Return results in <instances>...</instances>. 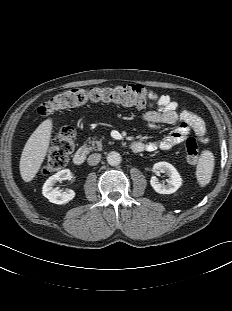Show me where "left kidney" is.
<instances>
[{"instance_id":"left-kidney-1","label":"left kidney","mask_w":232,"mask_h":311,"mask_svg":"<svg viewBox=\"0 0 232 311\" xmlns=\"http://www.w3.org/2000/svg\"><path fill=\"white\" fill-rule=\"evenodd\" d=\"M153 172L156 175L166 173L169 176L167 184H161L156 176L151 177L150 184L159 194H172L182 185V178L176 168L168 162H158L153 166Z\"/></svg>"}]
</instances>
